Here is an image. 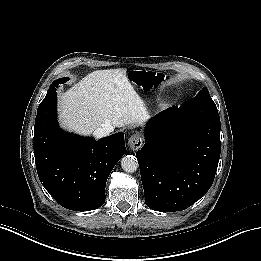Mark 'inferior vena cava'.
Listing matches in <instances>:
<instances>
[{
	"label": "inferior vena cava",
	"instance_id": "1",
	"mask_svg": "<svg viewBox=\"0 0 261 261\" xmlns=\"http://www.w3.org/2000/svg\"><path fill=\"white\" fill-rule=\"evenodd\" d=\"M113 131H114V127L112 125H105L103 127H99L95 129V131L93 132V136L96 139H100L108 136Z\"/></svg>",
	"mask_w": 261,
	"mask_h": 261
}]
</instances>
